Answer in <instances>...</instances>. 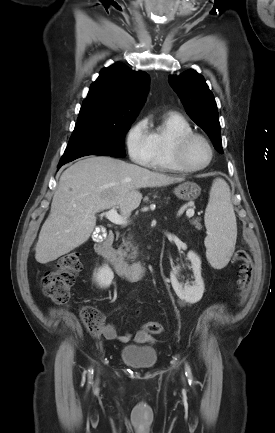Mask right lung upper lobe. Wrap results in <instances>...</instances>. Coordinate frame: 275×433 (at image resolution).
Listing matches in <instances>:
<instances>
[{"label":"right lung upper lobe","mask_w":275,"mask_h":433,"mask_svg":"<svg viewBox=\"0 0 275 433\" xmlns=\"http://www.w3.org/2000/svg\"><path fill=\"white\" fill-rule=\"evenodd\" d=\"M149 77L123 63L101 70L80 109L78 121L122 122L134 120L145 101Z\"/></svg>","instance_id":"obj_1"}]
</instances>
